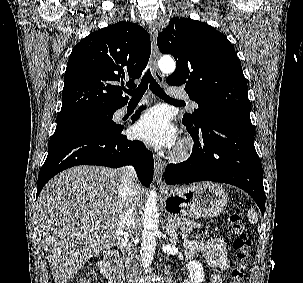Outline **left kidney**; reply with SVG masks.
<instances>
[{"label":"left kidney","mask_w":303,"mask_h":283,"mask_svg":"<svg viewBox=\"0 0 303 283\" xmlns=\"http://www.w3.org/2000/svg\"><path fill=\"white\" fill-rule=\"evenodd\" d=\"M187 270L189 272V278L192 283H201L204 281L203 266L197 261H190Z\"/></svg>","instance_id":"left-kidney-1"}]
</instances>
